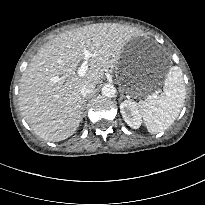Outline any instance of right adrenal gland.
I'll return each instance as SVG.
<instances>
[{"instance_id": "1", "label": "right adrenal gland", "mask_w": 205, "mask_h": 205, "mask_svg": "<svg viewBox=\"0 0 205 205\" xmlns=\"http://www.w3.org/2000/svg\"><path fill=\"white\" fill-rule=\"evenodd\" d=\"M85 102H86V100L85 99H83V106H82V114L84 113V110H85Z\"/></svg>"}]
</instances>
